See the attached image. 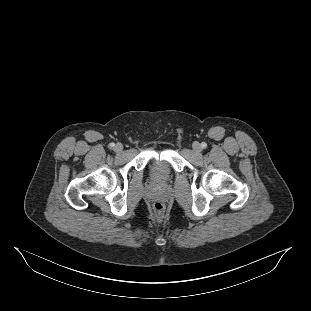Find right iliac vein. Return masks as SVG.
Here are the masks:
<instances>
[{"mask_svg": "<svg viewBox=\"0 0 311 311\" xmlns=\"http://www.w3.org/2000/svg\"><path fill=\"white\" fill-rule=\"evenodd\" d=\"M116 152H121L123 150V145L121 143H117L114 147Z\"/></svg>", "mask_w": 311, "mask_h": 311, "instance_id": "obj_1", "label": "right iliac vein"}]
</instances>
